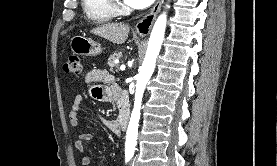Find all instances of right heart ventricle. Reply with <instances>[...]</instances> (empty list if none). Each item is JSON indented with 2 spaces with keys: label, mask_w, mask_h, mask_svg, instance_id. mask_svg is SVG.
Instances as JSON below:
<instances>
[{
  "label": "right heart ventricle",
  "mask_w": 277,
  "mask_h": 166,
  "mask_svg": "<svg viewBox=\"0 0 277 166\" xmlns=\"http://www.w3.org/2000/svg\"><path fill=\"white\" fill-rule=\"evenodd\" d=\"M86 17L94 23H106L117 16V10L109 0H81Z\"/></svg>",
  "instance_id": "e07e8e85"
}]
</instances>
